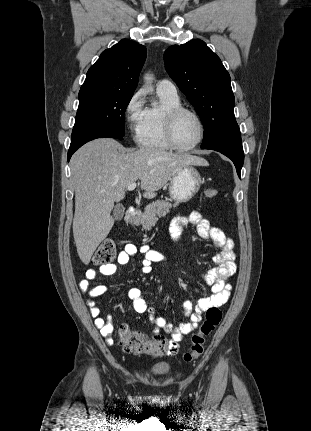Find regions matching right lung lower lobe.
Instances as JSON below:
<instances>
[{
	"mask_svg": "<svg viewBox=\"0 0 311 431\" xmlns=\"http://www.w3.org/2000/svg\"><path fill=\"white\" fill-rule=\"evenodd\" d=\"M103 137L123 139L122 138L123 136L118 133L102 130V129H93V130L82 132L72 137V141L68 151V161L70 160L72 154L83 144L93 139L103 138Z\"/></svg>",
	"mask_w": 311,
	"mask_h": 431,
	"instance_id": "98d812e1",
	"label": "right lung lower lobe"
}]
</instances>
